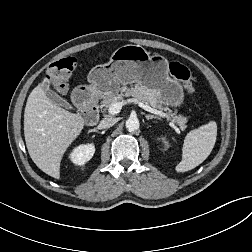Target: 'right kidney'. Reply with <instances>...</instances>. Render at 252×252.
Returning a JSON list of instances; mask_svg holds the SVG:
<instances>
[{"instance_id": "obj_1", "label": "right kidney", "mask_w": 252, "mask_h": 252, "mask_svg": "<svg viewBox=\"0 0 252 252\" xmlns=\"http://www.w3.org/2000/svg\"><path fill=\"white\" fill-rule=\"evenodd\" d=\"M94 152L95 148L93 144L80 145L73 149L69 158L74 164L82 166L92 158Z\"/></svg>"}]
</instances>
